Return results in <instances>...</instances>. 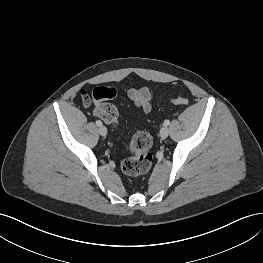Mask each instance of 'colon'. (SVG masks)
Segmentation results:
<instances>
[{
	"mask_svg": "<svg viewBox=\"0 0 263 263\" xmlns=\"http://www.w3.org/2000/svg\"><path fill=\"white\" fill-rule=\"evenodd\" d=\"M83 101L89 103L92 100L96 103L95 114L107 124L115 127L119 123V113L117 108L110 103V100L116 96L115 88L111 86H98L92 92L90 99L85 91L82 92ZM173 103L179 106L188 104V100L184 97H176ZM152 137L146 131H136L130 142L129 150L132 155L125 158L121 163L122 171L129 176H139L152 166L153 156L151 154Z\"/></svg>",
	"mask_w": 263,
	"mask_h": 263,
	"instance_id": "1",
	"label": "colon"
}]
</instances>
